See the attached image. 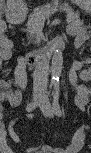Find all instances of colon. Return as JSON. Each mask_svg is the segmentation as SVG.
I'll use <instances>...</instances> for the list:
<instances>
[{
    "instance_id": "5ec220e1",
    "label": "colon",
    "mask_w": 91,
    "mask_h": 153,
    "mask_svg": "<svg viewBox=\"0 0 91 153\" xmlns=\"http://www.w3.org/2000/svg\"><path fill=\"white\" fill-rule=\"evenodd\" d=\"M3 29H4V26L0 25V40L2 42V47H4L8 43V37L6 36L5 31H3Z\"/></svg>"
}]
</instances>
